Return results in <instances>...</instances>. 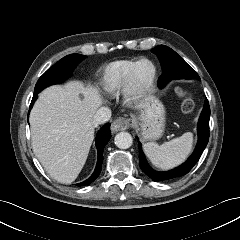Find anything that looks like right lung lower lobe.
I'll return each mask as SVG.
<instances>
[{
    "label": "right lung lower lobe",
    "instance_id": "1",
    "mask_svg": "<svg viewBox=\"0 0 240 240\" xmlns=\"http://www.w3.org/2000/svg\"><path fill=\"white\" fill-rule=\"evenodd\" d=\"M37 94L38 93H34L33 95L30 109L32 108L33 103L37 99ZM110 138H111L110 124L108 123L101 128V130L98 132V135L96 137V147L98 151V160H97L96 168L93 174L87 180L77 184V186L89 185L99 176L102 168V162H103V149L105 145L108 143V141L110 140Z\"/></svg>",
    "mask_w": 240,
    "mask_h": 240
}]
</instances>
